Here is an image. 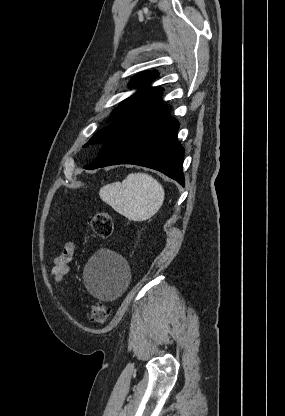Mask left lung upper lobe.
<instances>
[{"label":"left lung upper lobe","mask_w":285,"mask_h":416,"mask_svg":"<svg viewBox=\"0 0 285 416\" xmlns=\"http://www.w3.org/2000/svg\"><path fill=\"white\" fill-rule=\"evenodd\" d=\"M156 76L155 72H144L135 76L130 82V86H139L140 90L115 109L112 113L113 116H111L113 122L95 133L84 146L103 144L128 123L163 108L164 104L160 98L162 89L146 85Z\"/></svg>","instance_id":"5c2ea615"}]
</instances>
